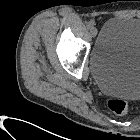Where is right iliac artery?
I'll list each match as a JSON object with an SVG mask.
<instances>
[{"label": "right iliac artery", "mask_w": 140, "mask_h": 140, "mask_svg": "<svg viewBox=\"0 0 140 140\" xmlns=\"http://www.w3.org/2000/svg\"><path fill=\"white\" fill-rule=\"evenodd\" d=\"M87 27H88V29H91V28H93V24H92L91 22H89V23L87 24Z\"/></svg>", "instance_id": "1"}]
</instances>
